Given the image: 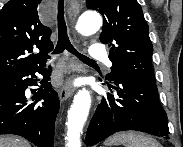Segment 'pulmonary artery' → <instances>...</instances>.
I'll list each match as a JSON object with an SVG mask.
<instances>
[{"label":"pulmonary artery","instance_id":"pulmonary-artery-1","mask_svg":"<svg viewBox=\"0 0 183 147\" xmlns=\"http://www.w3.org/2000/svg\"><path fill=\"white\" fill-rule=\"evenodd\" d=\"M89 55L93 59L104 60L106 58V51L101 44H93L89 48ZM108 65H111L109 61H107Z\"/></svg>","mask_w":183,"mask_h":147}]
</instances>
